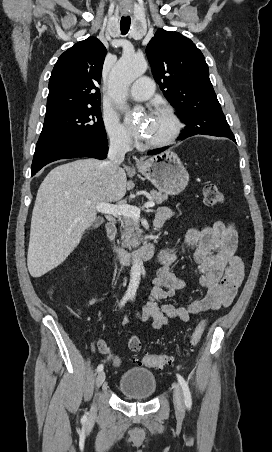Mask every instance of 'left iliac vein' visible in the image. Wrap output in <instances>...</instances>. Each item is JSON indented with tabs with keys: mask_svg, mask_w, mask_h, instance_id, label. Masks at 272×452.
<instances>
[{
	"mask_svg": "<svg viewBox=\"0 0 272 452\" xmlns=\"http://www.w3.org/2000/svg\"><path fill=\"white\" fill-rule=\"evenodd\" d=\"M172 387H173V400H174L175 409H176L177 413L182 415L184 413V409H185L182 389H181L180 385L176 382L173 383Z\"/></svg>",
	"mask_w": 272,
	"mask_h": 452,
	"instance_id": "obj_1",
	"label": "left iliac vein"
}]
</instances>
